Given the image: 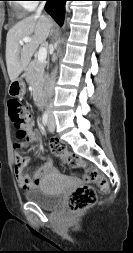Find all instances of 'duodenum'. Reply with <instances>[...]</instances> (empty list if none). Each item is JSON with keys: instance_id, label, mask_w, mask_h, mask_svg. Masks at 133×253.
Here are the masks:
<instances>
[{"instance_id": "410a0bca", "label": "duodenum", "mask_w": 133, "mask_h": 253, "mask_svg": "<svg viewBox=\"0 0 133 253\" xmlns=\"http://www.w3.org/2000/svg\"><path fill=\"white\" fill-rule=\"evenodd\" d=\"M22 78H27V73H22ZM43 97H44V94H43V86L42 85H39L38 86V89H37V91H36V100L38 101V106L40 107V108H42L43 107V102H42V100H43Z\"/></svg>"}]
</instances>
